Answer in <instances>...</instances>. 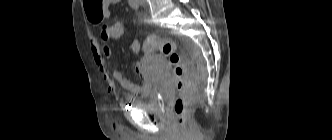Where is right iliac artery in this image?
<instances>
[{
    "instance_id": "obj_1",
    "label": "right iliac artery",
    "mask_w": 332,
    "mask_h": 140,
    "mask_svg": "<svg viewBox=\"0 0 332 140\" xmlns=\"http://www.w3.org/2000/svg\"><path fill=\"white\" fill-rule=\"evenodd\" d=\"M128 3L133 9L139 8V0H128Z\"/></svg>"
}]
</instances>
